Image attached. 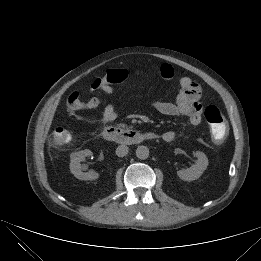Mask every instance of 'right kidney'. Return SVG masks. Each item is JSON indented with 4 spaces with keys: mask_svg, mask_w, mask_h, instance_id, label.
I'll return each instance as SVG.
<instances>
[{
    "mask_svg": "<svg viewBox=\"0 0 261 261\" xmlns=\"http://www.w3.org/2000/svg\"><path fill=\"white\" fill-rule=\"evenodd\" d=\"M92 155L89 149L81 150L71 154L70 171L71 173L80 180H96L99 174L95 171L83 172V168L80 164L82 159Z\"/></svg>",
    "mask_w": 261,
    "mask_h": 261,
    "instance_id": "right-kidney-1",
    "label": "right kidney"
}]
</instances>
